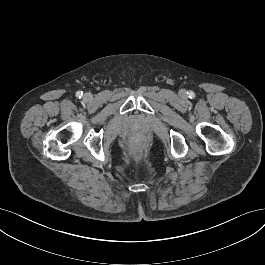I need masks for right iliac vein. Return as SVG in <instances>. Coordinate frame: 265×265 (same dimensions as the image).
Returning <instances> with one entry per match:
<instances>
[{"label": "right iliac vein", "mask_w": 265, "mask_h": 265, "mask_svg": "<svg viewBox=\"0 0 265 265\" xmlns=\"http://www.w3.org/2000/svg\"><path fill=\"white\" fill-rule=\"evenodd\" d=\"M85 99L87 100V101H90L91 99H92V96H91V94H85Z\"/></svg>", "instance_id": "63e3f726"}]
</instances>
